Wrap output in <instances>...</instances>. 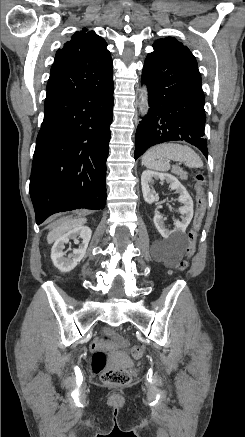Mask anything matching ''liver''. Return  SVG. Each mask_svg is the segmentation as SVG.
<instances>
[{
  "label": "liver",
  "mask_w": 245,
  "mask_h": 437,
  "mask_svg": "<svg viewBox=\"0 0 245 437\" xmlns=\"http://www.w3.org/2000/svg\"><path fill=\"white\" fill-rule=\"evenodd\" d=\"M86 218H79V219H73V220H67L61 224H59L57 227L53 228L48 236H47V242L49 244L56 241L58 238H60L64 233L82 226L86 223Z\"/></svg>",
  "instance_id": "6515ba94"
}]
</instances>
